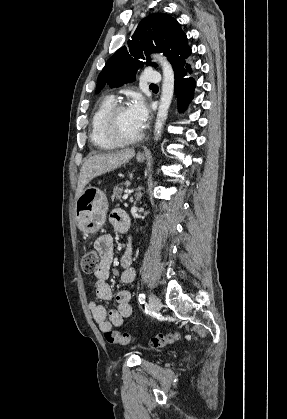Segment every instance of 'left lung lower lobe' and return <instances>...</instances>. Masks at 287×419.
Masks as SVG:
<instances>
[{
	"instance_id": "left-lung-lower-lobe-1",
	"label": "left lung lower lobe",
	"mask_w": 287,
	"mask_h": 419,
	"mask_svg": "<svg viewBox=\"0 0 287 419\" xmlns=\"http://www.w3.org/2000/svg\"><path fill=\"white\" fill-rule=\"evenodd\" d=\"M187 72H191L189 64L176 71L175 74V92L178 98V109L183 111L192 100L195 88V81L192 78H184Z\"/></svg>"
}]
</instances>
